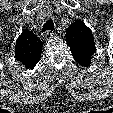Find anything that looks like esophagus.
Listing matches in <instances>:
<instances>
[{"label": "esophagus", "instance_id": "esophagus-1", "mask_svg": "<svg viewBox=\"0 0 113 113\" xmlns=\"http://www.w3.org/2000/svg\"><path fill=\"white\" fill-rule=\"evenodd\" d=\"M55 35H56L55 32L48 31V32L45 33L44 36H45L46 39H50V38L54 37Z\"/></svg>", "mask_w": 113, "mask_h": 113}]
</instances>
